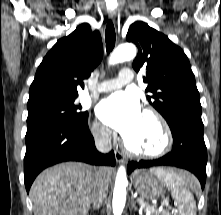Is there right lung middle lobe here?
I'll use <instances>...</instances> for the list:
<instances>
[{"mask_svg":"<svg viewBox=\"0 0 221 215\" xmlns=\"http://www.w3.org/2000/svg\"><path fill=\"white\" fill-rule=\"evenodd\" d=\"M81 105L75 99L52 101L28 106L27 128L34 127L51 119L83 121L88 118L87 112H81Z\"/></svg>","mask_w":221,"mask_h":215,"instance_id":"obj_1","label":"right lung middle lobe"}]
</instances>
